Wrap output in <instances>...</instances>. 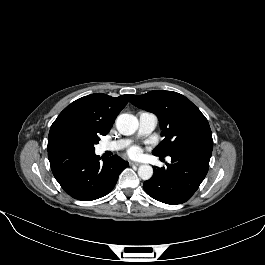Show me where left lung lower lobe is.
I'll list each match as a JSON object with an SVG mask.
<instances>
[{"label":"left lung lower lobe","instance_id":"left-lung-lower-lobe-1","mask_svg":"<svg viewBox=\"0 0 265 265\" xmlns=\"http://www.w3.org/2000/svg\"><path fill=\"white\" fill-rule=\"evenodd\" d=\"M212 149V136L200 137L179 146L169 154L170 164L153 168V177L143 184L145 192L166 204L186 202L208 172Z\"/></svg>","mask_w":265,"mask_h":265}]
</instances>
